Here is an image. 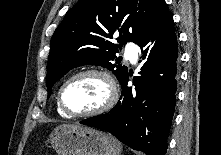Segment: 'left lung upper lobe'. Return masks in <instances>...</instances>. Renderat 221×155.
<instances>
[{"mask_svg": "<svg viewBox=\"0 0 221 155\" xmlns=\"http://www.w3.org/2000/svg\"><path fill=\"white\" fill-rule=\"evenodd\" d=\"M163 3L164 0H79L66 13L51 39L48 97L57 80L72 68L85 64L106 67L121 82L128 69L119 64L115 54L126 41H138ZM113 37H117L119 45L111 42Z\"/></svg>", "mask_w": 221, "mask_h": 155, "instance_id": "1", "label": "left lung upper lobe"}]
</instances>
